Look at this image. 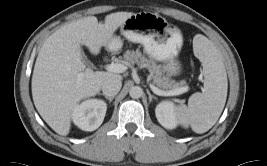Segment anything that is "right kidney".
Returning a JSON list of instances; mask_svg holds the SVG:
<instances>
[{
    "label": "right kidney",
    "instance_id": "1",
    "mask_svg": "<svg viewBox=\"0 0 267 166\" xmlns=\"http://www.w3.org/2000/svg\"><path fill=\"white\" fill-rule=\"evenodd\" d=\"M106 110L107 105L104 101L89 99L75 107L72 119L80 129L94 131L102 124Z\"/></svg>",
    "mask_w": 267,
    "mask_h": 166
}]
</instances>
